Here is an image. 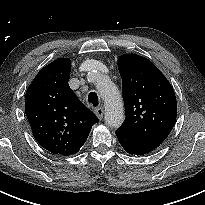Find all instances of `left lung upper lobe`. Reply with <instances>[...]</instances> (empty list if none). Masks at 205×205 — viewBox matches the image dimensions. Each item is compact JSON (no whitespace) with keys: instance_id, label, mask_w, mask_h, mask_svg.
<instances>
[{"instance_id":"5c2ea615","label":"left lung upper lobe","mask_w":205,"mask_h":205,"mask_svg":"<svg viewBox=\"0 0 205 205\" xmlns=\"http://www.w3.org/2000/svg\"><path fill=\"white\" fill-rule=\"evenodd\" d=\"M126 118L120 128L161 144L177 116L174 90L147 58L124 54L118 60Z\"/></svg>"}]
</instances>
